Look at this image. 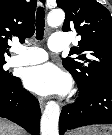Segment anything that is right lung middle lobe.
<instances>
[{"label": "right lung middle lobe", "mask_w": 112, "mask_h": 135, "mask_svg": "<svg viewBox=\"0 0 112 135\" xmlns=\"http://www.w3.org/2000/svg\"><path fill=\"white\" fill-rule=\"evenodd\" d=\"M5 63L6 61H0V90L8 88L17 80V77L12 76L11 73L3 69Z\"/></svg>", "instance_id": "1"}]
</instances>
